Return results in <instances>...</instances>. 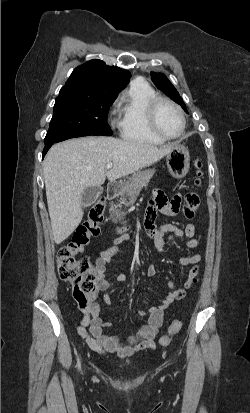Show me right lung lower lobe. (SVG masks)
I'll return each mask as SVG.
<instances>
[{"mask_svg": "<svg viewBox=\"0 0 250 413\" xmlns=\"http://www.w3.org/2000/svg\"><path fill=\"white\" fill-rule=\"evenodd\" d=\"M89 135H93V134H88V133L72 134V135H68V136L62 137V138L58 139L57 141H55V142H53V143L45 144V147H44V150H43V157L45 156V154L47 153V151L49 150V148H50L54 143H57V142H60V141H64V140H67V139H70V138H76V137H82V136H89Z\"/></svg>", "mask_w": 250, "mask_h": 413, "instance_id": "right-lung-lower-lobe-1", "label": "right lung lower lobe"}]
</instances>
